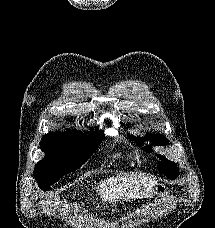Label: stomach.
Instances as JSON below:
<instances>
[{"instance_id":"stomach-1","label":"stomach","mask_w":215,"mask_h":228,"mask_svg":"<svg viewBox=\"0 0 215 228\" xmlns=\"http://www.w3.org/2000/svg\"><path fill=\"white\" fill-rule=\"evenodd\" d=\"M154 194H156V196H167L168 188H166L164 184H157Z\"/></svg>"}]
</instances>
